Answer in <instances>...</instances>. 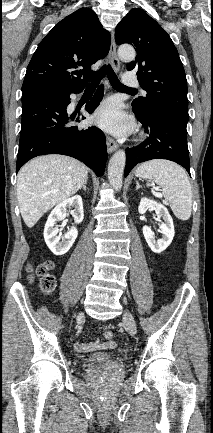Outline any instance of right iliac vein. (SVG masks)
I'll list each match as a JSON object with an SVG mask.
<instances>
[{
	"instance_id": "right-iliac-vein-1",
	"label": "right iliac vein",
	"mask_w": 213,
	"mask_h": 433,
	"mask_svg": "<svg viewBox=\"0 0 213 433\" xmlns=\"http://www.w3.org/2000/svg\"><path fill=\"white\" fill-rule=\"evenodd\" d=\"M84 319V313L80 312L77 316V322L81 321Z\"/></svg>"
}]
</instances>
